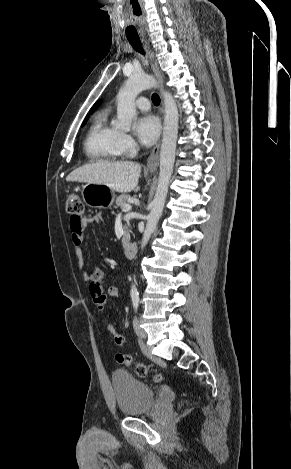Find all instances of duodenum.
Listing matches in <instances>:
<instances>
[{
	"mask_svg": "<svg viewBox=\"0 0 291 469\" xmlns=\"http://www.w3.org/2000/svg\"><path fill=\"white\" fill-rule=\"evenodd\" d=\"M137 246L134 243H129L124 246V254L127 258L132 259L136 256Z\"/></svg>",
	"mask_w": 291,
	"mask_h": 469,
	"instance_id": "1",
	"label": "duodenum"
}]
</instances>
